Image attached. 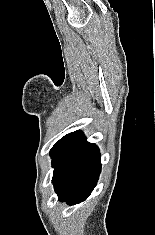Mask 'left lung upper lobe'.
Listing matches in <instances>:
<instances>
[{
  "label": "left lung upper lobe",
  "instance_id": "1",
  "mask_svg": "<svg viewBox=\"0 0 155 235\" xmlns=\"http://www.w3.org/2000/svg\"><path fill=\"white\" fill-rule=\"evenodd\" d=\"M70 134L65 135L61 138L51 149L50 154L69 136Z\"/></svg>",
  "mask_w": 155,
  "mask_h": 235
}]
</instances>
